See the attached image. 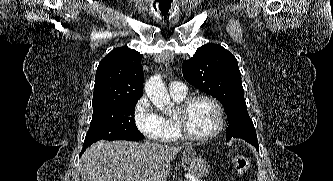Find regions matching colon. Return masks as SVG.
Segmentation results:
<instances>
[{
    "label": "colon",
    "instance_id": "colon-1",
    "mask_svg": "<svg viewBox=\"0 0 333 181\" xmlns=\"http://www.w3.org/2000/svg\"><path fill=\"white\" fill-rule=\"evenodd\" d=\"M231 163L235 171L240 175H245L249 170L250 162L248 157L246 156L243 155L233 156L231 159Z\"/></svg>",
    "mask_w": 333,
    "mask_h": 181
}]
</instances>
